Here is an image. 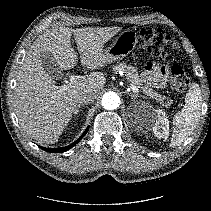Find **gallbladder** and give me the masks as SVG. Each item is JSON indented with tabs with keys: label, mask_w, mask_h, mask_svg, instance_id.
Returning a JSON list of instances; mask_svg holds the SVG:
<instances>
[{
	"label": "gallbladder",
	"mask_w": 211,
	"mask_h": 211,
	"mask_svg": "<svg viewBox=\"0 0 211 211\" xmlns=\"http://www.w3.org/2000/svg\"><path fill=\"white\" fill-rule=\"evenodd\" d=\"M41 62L47 73H49L52 77L57 79L62 77V70L51 54H49L48 52H43L41 54Z\"/></svg>",
	"instance_id": "obj_1"
}]
</instances>
